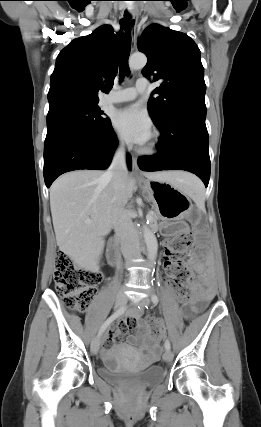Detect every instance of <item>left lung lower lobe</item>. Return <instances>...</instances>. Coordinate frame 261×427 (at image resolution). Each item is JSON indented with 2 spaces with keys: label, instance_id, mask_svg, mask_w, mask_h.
<instances>
[{
  "label": "left lung lower lobe",
  "instance_id": "left-lung-lower-lobe-1",
  "mask_svg": "<svg viewBox=\"0 0 261 427\" xmlns=\"http://www.w3.org/2000/svg\"><path fill=\"white\" fill-rule=\"evenodd\" d=\"M205 118L206 107L190 104L175 107L163 122L155 123L161 133L159 153L139 158V168L186 170L196 174L207 187L211 165Z\"/></svg>",
  "mask_w": 261,
  "mask_h": 427
}]
</instances>
